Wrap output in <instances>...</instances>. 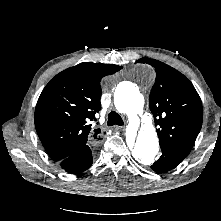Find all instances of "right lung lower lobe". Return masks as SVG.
<instances>
[{
    "label": "right lung lower lobe",
    "mask_w": 221,
    "mask_h": 221,
    "mask_svg": "<svg viewBox=\"0 0 221 221\" xmlns=\"http://www.w3.org/2000/svg\"><path fill=\"white\" fill-rule=\"evenodd\" d=\"M93 161L90 144L82 147L69 157L59 161L62 168L71 174H79L87 170Z\"/></svg>",
    "instance_id": "98d812e1"
}]
</instances>
